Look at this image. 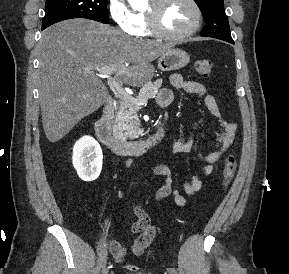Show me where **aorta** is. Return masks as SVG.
Returning a JSON list of instances; mask_svg holds the SVG:
<instances>
[{
  "instance_id": "obj_1",
  "label": "aorta",
  "mask_w": 289,
  "mask_h": 274,
  "mask_svg": "<svg viewBox=\"0 0 289 274\" xmlns=\"http://www.w3.org/2000/svg\"><path fill=\"white\" fill-rule=\"evenodd\" d=\"M128 2L132 7L138 9L143 7L146 4L147 0H128Z\"/></svg>"
}]
</instances>
